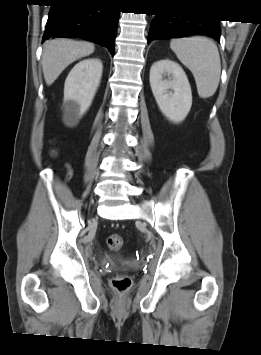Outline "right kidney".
<instances>
[{"label": "right kidney", "instance_id": "ca27d5eb", "mask_svg": "<svg viewBox=\"0 0 261 355\" xmlns=\"http://www.w3.org/2000/svg\"><path fill=\"white\" fill-rule=\"evenodd\" d=\"M103 65L98 58L77 63L70 71L64 85V116L74 124L89 109L102 76Z\"/></svg>", "mask_w": 261, "mask_h": 355}]
</instances>
